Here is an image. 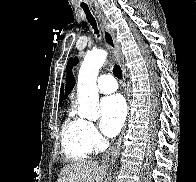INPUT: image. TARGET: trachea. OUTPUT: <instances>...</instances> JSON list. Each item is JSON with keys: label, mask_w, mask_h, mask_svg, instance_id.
<instances>
[{"label": "trachea", "mask_w": 196, "mask_h": 182, "mask_svg": "<svg viewBox=\"0 0 196 182\" xmlns=\"http://www.w3.org/2000/svg\"><path fill=\"white\" fill-rule=\"evenodd\" d=\"M85 14H86V17H87V20L88 22L92 25L94 31H95V34L98 35L99 37V30L97 29V23H96V20L94 19V17L92 16L90 10L88 9V7H82ZM113 73L114 75L118 78V79H122V70L120 68L119 65L115 64L114 67H113Z\"/></svg>", "instance_id": "obj_1"}]
</instances>
